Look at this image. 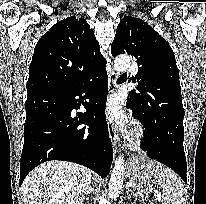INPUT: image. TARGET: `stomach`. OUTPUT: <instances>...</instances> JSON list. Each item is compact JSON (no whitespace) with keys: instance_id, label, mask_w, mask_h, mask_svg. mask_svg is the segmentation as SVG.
Segmentation results:
<instances>
[{"instance_id":"obj_1","label":"stomach","mask_w":206,"mask_h":204,"mask_svg":"<svg viewBox=\"0 0 206 204\" xmlns=\"http://www.w3.org/2000/svg\"><path fill=\"white\" fill-rule=\"evenodd\" d=\"M164 167L153 160L133 159L127 173L132 188L139 193L158 192L163 187Z\"/></svg>"}]
</instances>
